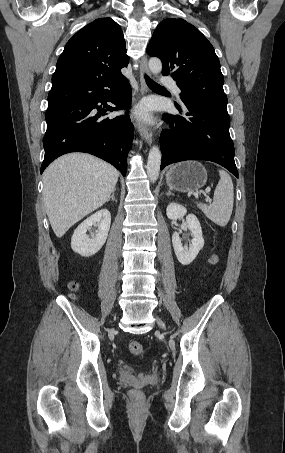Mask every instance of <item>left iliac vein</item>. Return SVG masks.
<instances>
[{"instance_id": "obj_1", "label": "left iliac vein", "mask_w": 285, "mask_h": 453, "mask_svg": "<svg viewBox=\"0 0 285 453\" xmlns=\"http://www.w3.org/2000/svg\"><path fill=\"white\" fill-rule=\"evenodd\" d=\"M157 323H158V325H159L161 328H163V329L165 328V324H164L163 321H162L160 318H158V317H157Z\"/></svg>"}]
</instances>
